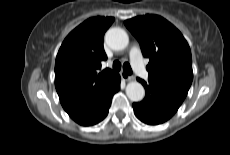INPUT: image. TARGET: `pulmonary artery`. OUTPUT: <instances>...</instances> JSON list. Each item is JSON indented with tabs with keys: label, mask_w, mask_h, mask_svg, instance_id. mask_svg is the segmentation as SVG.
I'll use <instances>...</instances> for the list:
<instances>
[{
	"label": "pulmonary artery",
	"mask_w": 230,
	"mask_h": 155,
	"mask_svg": "<svg viewBox=\"0 0 230 155\" xmlns=\"http://www.w3.org/2000/svg\"><path fill=\"white\" fill-rule=\"evenodd\" d=\"M129 59H130V64H131L132 68L134 69V71L139 76H142L144 78H148L149 72L147 71V69L144 65L141 50L137 45H134L130 48Z\"/></svg>",
	"instance_id": "e3ab8cb5"
}]
</instances>
